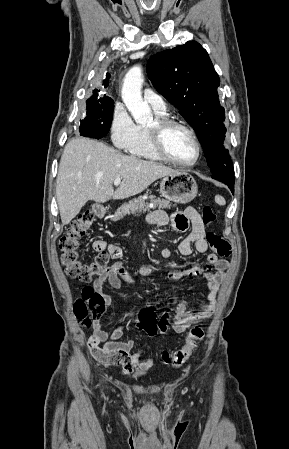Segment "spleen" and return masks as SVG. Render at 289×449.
Listing matches in <instances>:
<instances>
[{
    "mask_svg": "<svg viewBox=\"0 0 289 449\" xmlns=\"http://www.w3.org/2000/svg\"><path fill=\"white\" fill-rule=\"evenodd\" d=\"M215 201H216L217 204L222 205V206L225 205V203H226L224 198L221 197V196L216 197Z\"/></svg>",
    "mask_w": 289,
    "mask_h": 449,
    "instance_id": "spleen-1",
    "label": "spleen"
}]
</instances>
